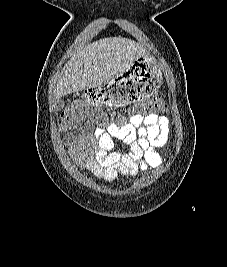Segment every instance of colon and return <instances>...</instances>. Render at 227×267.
I'll return each mask as SVG.
<instances>
[{"instance_id":"1","label":"colon","mask_w":227,"mask_h":267,"mask_svg":"<svg viewBox=\"0 0 227 267\" xmlns=\"http://www.w3.org/2000/svg\"><path fill=\"white\" fill-rule=\"evenodd\" d=\"M97 105V104H93ZM165 108V103L160 98H154L153 100L145 101L143 105H131V110L137 111V116L147 115H160ZM106 110H95V114H91L88 104H84L83 100H78L71 103L62 114V127L74 128L79 126L86 119H104ZM134 112H131L129 118H132ZM111 118H115V115H111Z\"/></svg>"}]
</instances>
